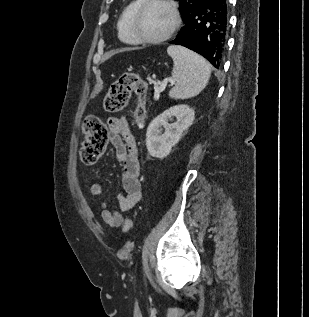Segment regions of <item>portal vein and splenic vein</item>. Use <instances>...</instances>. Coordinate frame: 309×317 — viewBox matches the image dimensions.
Returning a JSON list of instances; mask_svg holds the SVG:
<instances>
[{"label":"portal vein and splenic vein","mask_w":309,"mask_h":317,"mask_svg":"<svg viewBox=\"0 0 309 317\" xmlns=\"http://www.w3.org/2000/svg\"><path fill=\"white\" fill-rule=\"evenodd\" d=\"M168 80H164L163 83L160 85V87H155V91L159 92L160 90L164 89L167 85ZM171 84L174 83V81L170 80Z\"/></svg>","instance_id":"portal-vein-and-splenic-vein-1"}]
</instances>
